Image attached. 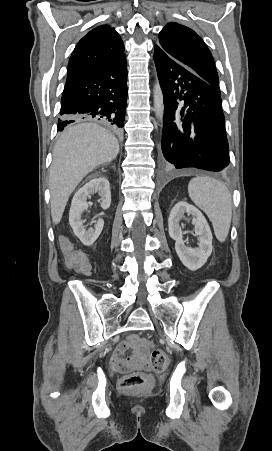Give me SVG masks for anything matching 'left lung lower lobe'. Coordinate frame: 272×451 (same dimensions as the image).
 I'll list each match as a JSON object with an SVG mask.
<instances>
[{
	"label": "left lung lower lobe",
	"instance_id": "1",
	"mask_svg": "<svg viewBox=\"0 0 272 451\" xmlns=\"http://www.w3.org/2000/svg\"><path fill=\"white\" fill-rule=\"evenodd\" d=\"M154 50L165 106L161 144L164 167L225 170L230 159L220 93L159 45ZM178 100H184L181 122Z\"/></svg>",
	"mask_w": 272,
	"mask_h": 451
}]
</instances>
